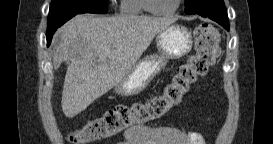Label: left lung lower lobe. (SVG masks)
Masks as SVG:
<instances>
[{
    "mask_svg": "<svg viewBox=\"0 0 273 144\" xmlns=\"http://www.w3.org/2000/svg\"><path fill=\"white\" fill-rule=\"evenodd\" d=\"M195 14L201 15L203 17H208L222 25L225 29L229 30L228 16L225 7L210 5L208 8L199 9L195 12Z\"/></svg>",
    "mask_w": 273,
    "mask_h": 144,
    "instance_id": "left-lung-lower-lobe-1",
    "label": "left lung lower lobe"
}]
</instances>
